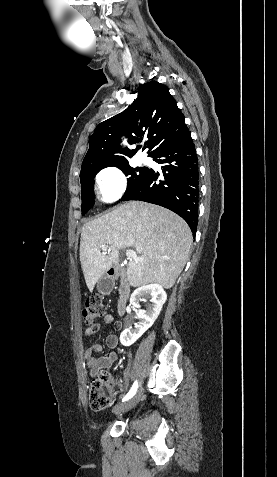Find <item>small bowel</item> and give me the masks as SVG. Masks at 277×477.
<instances>
[{"label": "small bowel", "mask_w": 277, "mask_h": 477, "mask_svg": "<svg viewBox=\"0 0 277 477\" xmlns=\"http://www.w3.org/2000/svg\"><path fill=\"white\" fill-rule=\"evenodd\" d=\"M104 323L106 326L113 325L114 329L119 331L122 329V322L115 321L114 317L110 314L104 316ZM100 329L99 324H94L86 328L84 335L86 337L92 336ZM118 337L115 334L107 335L105 339L106 346L111 350L106 355H100L103 350L101 344H93L84 352V358L89 368V375L92 378H96L100 373L109 369L118 359L117 353L114 349L118 346Z\"/></svg>", "instance_id": "1"}]
</instances>
